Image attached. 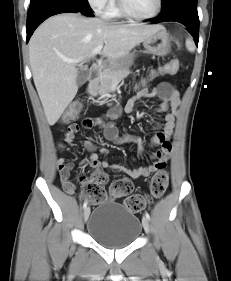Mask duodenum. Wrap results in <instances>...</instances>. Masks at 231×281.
Wrapping results in <instances>:
<instances>
[{"instance_id":"obj_1","label":"duodenum","mask_w":231,"mask_h":281,"mask_svg":"<svg viewBox=\"0 0 231 281\" xmlns=\"http://www.w3.org/2000/svg\"><path fill=\"white\" fill-rule=\"evenodd\" d=\"M101 71L99 69H94L91 77V83H93L100 75Z\"/></svg>"}]
</instances>
